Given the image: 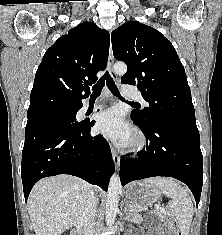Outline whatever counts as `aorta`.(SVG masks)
I'll return each instance as SVG.
<instances>
[{
	"label": "aorta",
	"instance_id": "aorta-1",
	"mask_svg": "<svg viewBox=\"0 0 222 235\" xmlns=\"http://www.w3.org/2000/svg\"><path fill=\"white\" fill-rule=\"evenodd\" d=\"M115 74L122 76L127 72V65L122 62L115 63L114 67ZM121 189V182L117 174H113L108 187L107 202H106V223L108 226H112L116 219L118 212L119 202V190Z\"/></svg>",
	"mask_w": 222,
	"mask_h": 235
}]
</instances>
